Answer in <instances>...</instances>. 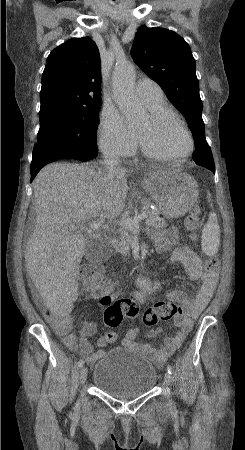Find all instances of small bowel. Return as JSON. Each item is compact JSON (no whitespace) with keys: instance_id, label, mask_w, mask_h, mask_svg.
<instances>
[{"instance_id":"c3829d8e","label":"small bowel","mask_w":245,"mask_h":450,"mask_svg":"<svg viewBox=\"0 0 245 450\" xmlns=\"http://www.w3.org/2000/svg\"><path fill=\"white\" fill-rule=\"evenodd\" d=\"M152 238L158 254H162L173 248L170 262L172 264H182L191 278L200 281V288L194 296H191L180 287L174 288L166 294L168 300L182 304L183 317L182 320H173L170 323V326L174 328V333L167 336L158 348H153L149 343L139 342L138 338L141 335L139 329L130 330L121 341L123 346L127 348H139L158 365H162L180 347L192 329L194 321L206 308L215 290L218 276L217 274L213 275L204 270L203 260L200 255L188 245L181 244L176 229L169 228L162 232L154 233ZM100 279L101 284L99 286L89 288L83 285L84 292L91 299L101 301L106 299L111 300L118 298L123 293L121 289L118 293H115L114 290L117 288V283L104 280L103 273ZM161 286L162 283L159 280L152 281L148 278L140 277L133 294L136 305L140 308L147 307L149 298L155 295ZM97 329L98 324L96 322H85L78 335L74 333L65 335L62 338V342L69 349L80 351L81 354L86 356L87 361L91 363L104 354L103 348L110 343L106 340L105 335L100 336L96 342L100 349L93 352L92 345L87 338L94 335ZM159 331L158 328L152 329L148 332V336L155 337Z\"/></svg>"}]
</instances>
